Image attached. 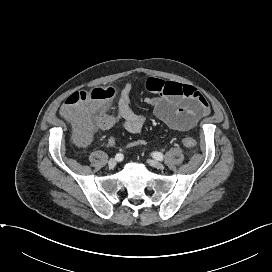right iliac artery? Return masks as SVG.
<instances>
[{"mask_svg": "<svg viewBox=\"0 0 272 272\" xmlns=\"http://www.w3.org/2000/svg\"><path fill=\"white\" fill-rule=\"evenodd\" d=\"M115 159L117 161H122L123 160V155L121 153H118V154H116Z\"/></svg>", "mask_w": 272, "mask_h": 272, "instance_id": "1", "label": "right iliac artery"}]
</instances>
